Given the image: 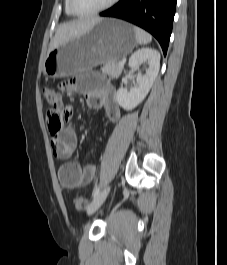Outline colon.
I'll list each match as a JSON object with an SVG mask.
<instances>
[{
	"mask_svg": "<svg viewBox=\"0 0 227 265\" xmlns=\"http://www.w3.org/2000/svg\"><path fill=\"white\" fill-rule=\"evenodd\" d=\"M42 92L46 102L52 107L47 115L48 130L51 135H56L60 132L63 124L70 119L72 109L63 103L62 96L58 92L48 88H44ZM86 204V199L82 197H77L74 200L77 209L85 208Z\"/></svg>",
	"mask_w": 227,
	"mask_h": 265,
	"instance_id": "5ec220e1",
	"label": "colon"
}]
</instances>
